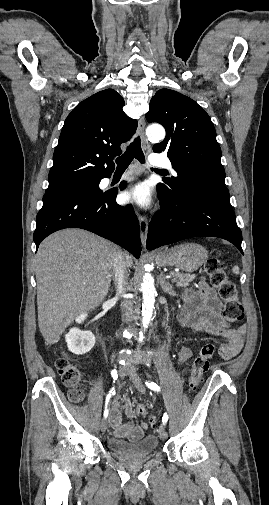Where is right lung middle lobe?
<instances>
[{"instance_id":"right-lung-middle-lobe-1","label":"right lung middle lobe","mask_w":269,"mask_h":505,"mask_svg":"<svg viewBox=\"0 0 269 505\" xmlns=\"http://www.w3.org/2000/svg\"><path fill=\"white\" fill-rule=\"evenodd\" d=\"M101 179H94V180H88L84 182H80L65 188L61 189H82V190H89L94 193L102 194L103 192L99 188V182ZM61 189H56V190H46V192H53Z\"/></svg>"}]
</instances>
